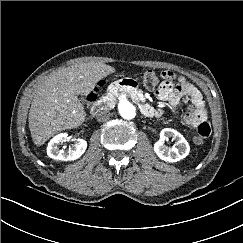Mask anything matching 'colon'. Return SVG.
<instances>
[{"label": "colon", "mask_w": 243, "mask_h": 243, "mask_svg": "<svg viewBox=\"0 0 243 243\" xmlns=\"http://www.w3.org/2000/svg\"><path fill=\"white\" fill-rule=\"evenodd\" d=\"M161 78H163V74L159 75L154 71H147L143 75V84L147 89L153 90L159 85ZM94 98V93L88 96L89 100H93ZM193 142L195 145H202L204 143V137L198 134L193 138Z\"/></svg>", "instance_id": "colon-1"}]
</instances>
